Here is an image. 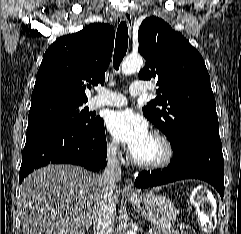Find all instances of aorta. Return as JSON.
<instances>
[{
	"label": "aorta",
	"instance_id": "obj_1",
	"mask_svg": "<svg viewBox=\"0 0 241 234\" xmlns=\"http://www.w3.org/2000/svg\"><path fill=\"white\" fill-rule=\"evenodd\" d=\"M144 65L143 58L140 55H129L122 63V73L124 75H131L140 70Z\"/></svg>",
	"mask_w": 241,
	"mask_h": 234
}]
</instances>
